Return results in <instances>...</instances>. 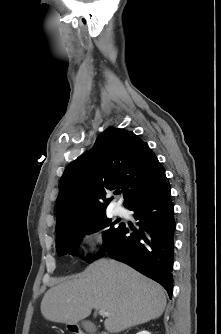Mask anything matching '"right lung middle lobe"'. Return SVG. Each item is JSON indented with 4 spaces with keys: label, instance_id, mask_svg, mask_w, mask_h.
Segmentation results:
<instances>
[{
    "label": "right lung middle lobe",
    "instance_id": "dd1d6c3e",
    "mask_svg": "<svg viewBox=\"0 0 221 334\" xmlns=\"http://www.w3.org/2000/svg\"><path fill=\"white\" fill-rule=\"evenodd\" d=\"M113 225L112 220L108 219L104 214L85 223L68 227L63 233L56 237L58 255L74 254L77 244L85 234L109 227L103 232L104 243L102 250L97 256L100 257L103 252L113 244L119 236L121 229L124 227L123 224H120L117 228Z\"/></svg>",
    "mask_w": 221,
    "mask_h": 334
}]
</instances>
